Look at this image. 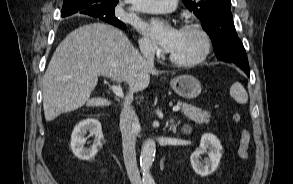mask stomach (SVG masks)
<instances>
[{"label":"stomach","instance_id":"0dacf381","mask_svg":"<svg viewBox=\"0 0 293 184\" xmlns=\"http://www.w3.org/2000/svg\"><path fill=\"white\" fill-rule=\"evenodd\" d=\"M172 89L185 99H194L201 93V83L191 75H180L170 81Z\"/></svg>","mask_w":293,"mask_h":184}]
</instances>
